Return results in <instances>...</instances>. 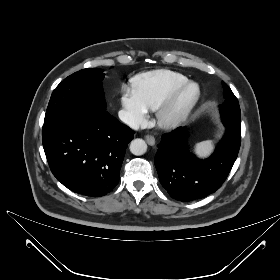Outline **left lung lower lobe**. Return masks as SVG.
<instances>
[{
    "label": "left lung lower lobe",
    "instance_id": "0a47b994",
    "mask_svg": "<svg viewBox=\"0 0 280 280\" xmlns=\"http://www.w3.org/2000/svg\"><path fill=\"white\" fill-rule=\"evenodd\" d=\"M226 129L215 152L206 160H199L189 152L185 128L179 127L162 135L155 155V167L160 183L173 199L193 201L221 187L232 169L241 144V135Z\"/></svg>",
    "mask_w": 280,
    "mask_h": 280
}]
</instances>
